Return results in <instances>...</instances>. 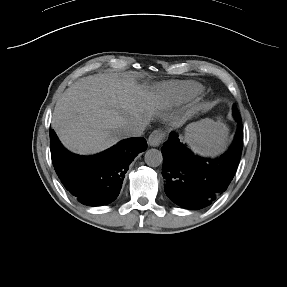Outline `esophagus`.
Segmentation results:
<instances>
[{"label": "esophagus", "mask_w": 287, "mask_h": 287, "mask_svg": "<svg viewBox=\"0 0 287 287\" xmlns=\"http://www.w3.org/2000/svg\"><path fill=\"white\" fill-rule=\"evenodd\" d=\"M164 139L165 132H163L162 130H154L148 138V143L152 147H158Z\"/></svg>", "instance_id": "1"}]
</instances>
